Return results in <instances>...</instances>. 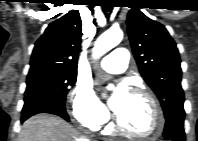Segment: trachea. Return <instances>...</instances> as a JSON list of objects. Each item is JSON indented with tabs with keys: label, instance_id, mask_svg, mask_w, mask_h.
I'll return each mask as SVG.
<instances>
[{
	"label": "trachea",
	"instance_id": "obj_1",
	"mask_svg": "<svg viewBox=\"0 0 198 141\" xmlns=\"http://www.w3.org/2000/svg\"><path fill=\"white\" fill-rule=\"evenodd\" d=\"M104 8H105L106 11L109 12V11L111 10L112 7H111L110 5H104Z\"/></svg>",
	"mask_w": 198,
	"mask_h": 141
}]
</instances>
